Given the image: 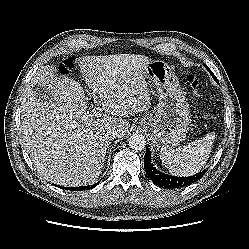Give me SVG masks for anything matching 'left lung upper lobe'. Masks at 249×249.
I'll list each match as a JSON object with an SVG mask.
<instances>
[{"label":"left lung upper lobe","mask_w":249,"mask_h":249,"mask_svg":"<svg viewBox=\"0 0 249 249\" xmlns=\"http://www.w3.org/2000/svg\"><path fill=\"white\" fill-rule=\"evenodd\" d=\"M204 66L209 70V72H210V74L212 75L213 79H214L215 81H217L216 76H215V75L213 74V72L208 68V66L205 65V64H204Z\"/></svg>","instance_id":"1"}]
</instances>
